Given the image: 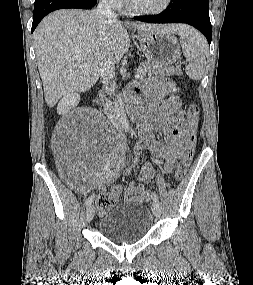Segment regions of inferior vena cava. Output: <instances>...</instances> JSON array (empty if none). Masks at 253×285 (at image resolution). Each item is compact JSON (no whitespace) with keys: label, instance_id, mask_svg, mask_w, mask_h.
<instances>
[{"label":"inferior vena cava","instance_id":"1","mask_svg":"<svg viewBox=\"0 0 253 285\" xmlns=\"http://www.w3.org/2000/svg\"><path fill=\"white\" fill-rule=\"evenodd\" d=\"M96 13L102 18L106 19L110 22H117V15L112 9V4L110 0H100ZM114 63L110 60L106 61L104 65L101 68L100 71V78L101 82L103 83V88L106 89L107 86L109 85L110 81L113 79V76L115 74V67ZM104 111L107 114V116H112L114 113V108L112 106V103L107 99L105 106H104Z\"/></svg>","mask_w":253,"mask_h":285}]
</instances>
